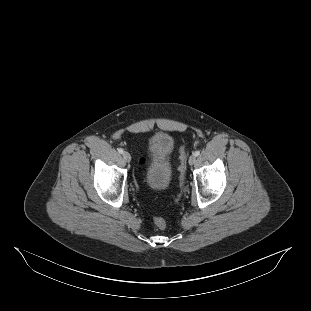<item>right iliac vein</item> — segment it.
<instances>
[{"label": "right iliac vein", "instance_id": "right-iliac-vein-1", "mask_svg": "<svg viewBox=\"0 0 311 311\" xmlns=\"http://www.w3.org/2000/svg\"><path fill=\"white\" fill-rule=\"evenodd\" d=\"M123 159L126 162H130L131 161V155L128 152H123Z\"/></svg>", "mask_w": 311, "mask_h": 311}]
</instances>
